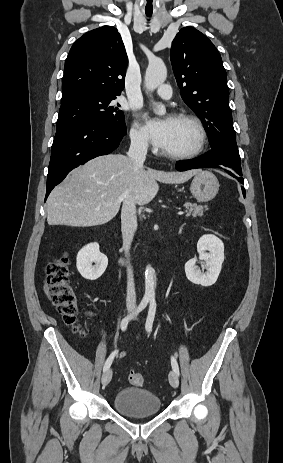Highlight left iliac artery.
<instances>
[{
  "label": "left iliac artery",
  "instance_id": "44dca946",
  "mask_svg": "<svg viewBox=\"0 0 283 463\" xmlns=\"http://www.w3.org/2000/svg\"><path fill=\"white\" fill-rule=\"evenodd\" d=\"M155 312H156V302L154 299H152L150 300L148 316H147L146 324H145L146 331L149 333L152 331ZM171 365H172L173 370L176 372V374L179 375V367L174 357L171 358Z\"/></svg>",
  "mask_w": 283,
  "mask_h": 463
}]
</instances>
